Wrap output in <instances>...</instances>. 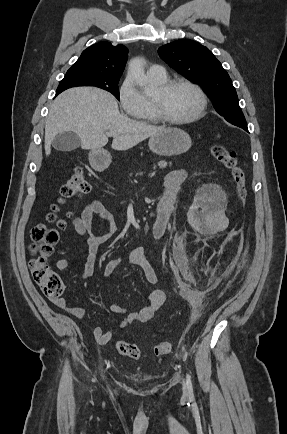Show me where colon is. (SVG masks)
Wrapping results in <instances>:
<instances>
[{"mask_svg": "<svg viewBox=\"0 0 287 434\" xmlns=\"http://www.w3.org/2000/svg\"><path fill=\"white\" fill-rule=\"evenodd\" d=\"M211 154L230 170L236 195L239 200L243 201L246 196V174L238 162L236 153L223 145L214 144L211 146ZM89 190L90 183L83 171L80 168H75L61 188L59 203L68 199L80 198ZM59 208V204H53L51 212L47 216L48 222L53 224V227L37 224L30 233L33 255L30 261L31 274L43 294L51 299L59 298L64 290L63 281L48 265V259L58 242V230L64 227L63 220L57 216ZM171 347L170 342L163 341L153 347L152 353L154 356H163L171 351ZM116 350L119 354L131 359L139 360L143 357V352L138 345L126 341H117Z\"/></svg>", "mask_w": 287, "mask_h": 434, "instance_id": "5ec220e1", "label": "colon"}]
</instances>
